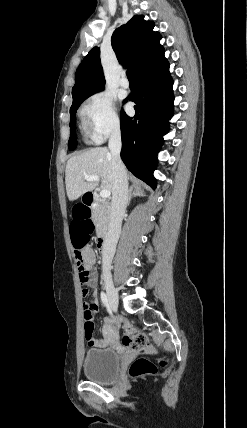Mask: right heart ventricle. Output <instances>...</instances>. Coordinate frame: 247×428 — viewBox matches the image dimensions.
I'll return each instance as SVG.
<instances>
[{
  "instance_id": "right-heart-ventricle-1",
  "label": "right heart ventricle",
  "mask_w": 247,
  "mask_h": 428,
  "mask_svg": "<svg viewBox=\"0 0 247 428\" xmlns=\"http://www.w3.org/2000/svg\"><path fill=\"white\" fill-rule=\"evenodd\" d=\"M80 124H81L82 133L84 137L87 138L90 135V133H89L88 121L85 114H81Z\"/></svg>"
}]
</instances>
